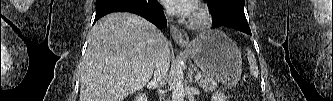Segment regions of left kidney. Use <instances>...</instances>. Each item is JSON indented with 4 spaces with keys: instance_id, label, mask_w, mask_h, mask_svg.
Segmentation results:
<instances>
[{
    "instance_id": "obj_1",
    "label": "left kidney",
    "mask_w": 333,
    "mask_h": 101,
    "mask_svg": "<svg viewBox=\"0 0 333 101\" xmlns=\"http://www.w3.org/2000/svg\"><path fill=\"white\" fill-rule=\"evenodd\" d=\"M226 96L225 95H223L222 93H216L215 95H213V97H212V101H226Z\"/></svg>"
}]
</instances>
